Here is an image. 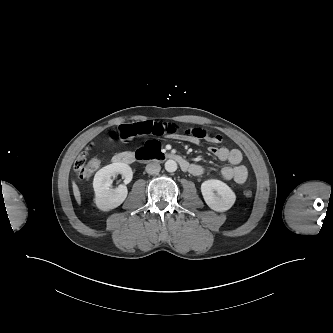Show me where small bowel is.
<instances>
[{
  "instance_id": "1",
  "label": "small bowel",
  "mask_w": 333,
  "mask_h": 333,
  "mask_svg": "<svg viewBox=\"0 0 333 333\" xmlns=\"http://www.w3.org/2000/svg\"><path fill=\"white\" fill-rule=\"evenodd\" d=\"M158 135L174 138L199 145L201 139L218 144L222 138L218 134H210L207 130L196 126H182L174 122L145 121L120 125L110 134L111 139H120L131 142L134 138L143 135ZM212 155L221 161H227L229 165L221 169V175L225 180H233L237 184H243L248 177V169L241 164L242 154L238 149H229L225 146H212L209 148ZM190 171L193 175H201L205 168L198 164H192Z\"/></svg>"
}]
</instances>
